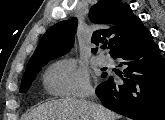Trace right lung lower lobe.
<instances>
[{
  "label": "right lung lower lobe",
  "mask_w": 165,
  "mask_h": 120,
  "mask_svg": "<svg viewBox=\"0 0 165 120\" xmlns=\"http://www.w3.org/2000/svg\"><path fill=\"white\" fill-rule=\"evenodd\" d=\"M112 57L126 66L124 83L113 77L101 83L96 94L102 104L133 120H165V58L151 33Z\"/></svg>",
  "instance_id": "98d812e1"
}]
</instances>
